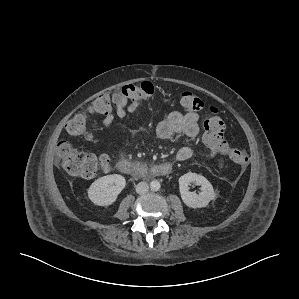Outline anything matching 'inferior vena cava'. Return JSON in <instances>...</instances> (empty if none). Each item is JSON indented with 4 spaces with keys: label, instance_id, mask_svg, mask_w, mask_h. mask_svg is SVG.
Listing matches in <instances>:
<instances>
[{
    "label": "inferior vena cava",
    "instance_id": "obj_1",
    "mask_svg": "<svg viewBox=\"0 0 299 299\" xmlns=\"http://www.w3.org/2000/svg\"><path fill=\"white\" fill-rule=\"evenodd\" d=\"M148 189H149V186L146 182H140L136 186V192L138 194H144V193L148 192Z\"/></svg>",
    "mask_w": 299,
    "mask_h": 299
}]
</instances>
